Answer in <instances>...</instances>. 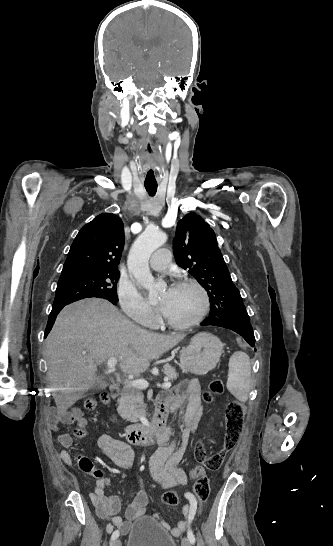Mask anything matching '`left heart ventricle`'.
<instances>
[{"label":"left heart ventricle","mask_w":333,"mask_h":546,"mask_svg":"<svg viewBox=\"0 0 333 546\" xmlns=\"http://www.w3.org/2000/svg\"><path fill=\"white\" fill-rule=\"evenodd\" d=\"M160 300L167 304L165 315L179 323L193 319L201 306L199 292L190 286L175 287L170 293L165 291Z\"/></svg>","instance_id":"left-heart-ventricle-1"}]
</instances>
